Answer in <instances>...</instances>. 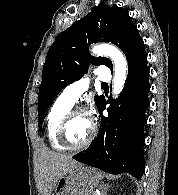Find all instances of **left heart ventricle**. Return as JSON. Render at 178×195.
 I'll return each mask as SVG.
<instances>
[{
  "label": "left heart ventricle",
  "instance_id": "obj_1",
  "mask_svg": "<svg viewBox=\"0 0 178 195\" xmlns=\"http://www.w3.org/2000/svg\"><path fill=\"white\" fill-rule=\"evenodd\" d=\"M92 122L87 114L77 115L67 129V140L72 145L83 143L90 135Z\"/></svg>",
  "mask_w": 178,
  "mask_h": 195
}]
</instances>
